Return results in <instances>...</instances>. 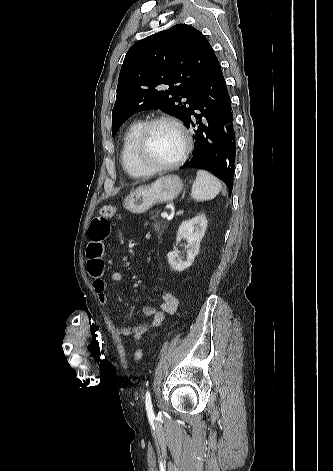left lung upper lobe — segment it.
<instances>
[{
    "label": "left lung upper lobe",
    "mask_w": 333,
    "mask_h": 471,
    "mask_svg": "<svg viewBox=\"0 0 333 471\" xmlns=\"http://www.w3.org/2000/svg\"><path fill=\"white\" fill-rule=\"evenodd\" d=\"M216 60L205 36L186 24L151 35L134 44L120 70L112 111L113 136L133 114L150 109L180 119L194 113L198 89ZM186 98V102H182Z\"/></svg>",
    "instance_id": "left-lung-upper-lobe-1"
}]
</instances>
